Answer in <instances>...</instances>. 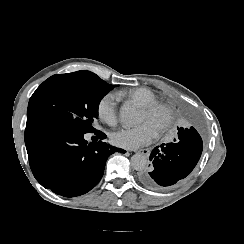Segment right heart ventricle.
Listing matches in <instances>:
<instances>
[{"instance_id":"e07e8e85","label":"right heart ventricle","mask_w":244,"mask_h":244,"mask_svg":"<svg viewBox=\"0 0 244 244\" xmlns=\"http://www.w3.org/2000/svg\"><path fill=\"white\" fill-rule=\"evenodd\" d=\"M119 99L128 98L138 102L141 106L157 102L154 93L146 87H137L120 90L117 93Z\"/></svg>"}]
</instances>
